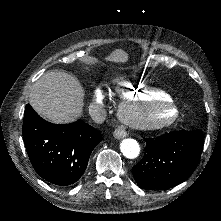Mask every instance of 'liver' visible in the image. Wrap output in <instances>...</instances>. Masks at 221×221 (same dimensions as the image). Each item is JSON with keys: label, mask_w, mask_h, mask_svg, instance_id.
Wrapping results in <instances>:
<instances>
[{"label": "liver", "mask_w": 221, "mask_h": 221, "mask_svg": "<svg viewBox=\"0 0 221 221\" xmlns=\"http://www.w3.org/2000/svg\"><path fill=\"white\" fill-rule=\"evenodd\" d=\"M112 60L119 61L117 57ZM83 99L84 92L78 80L59 71L42 75L29 95L32 108L55 124L71 123L81 117Z\"/></svg>", "instance_id": "1"}]
</instances>
